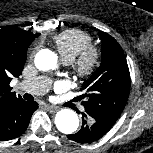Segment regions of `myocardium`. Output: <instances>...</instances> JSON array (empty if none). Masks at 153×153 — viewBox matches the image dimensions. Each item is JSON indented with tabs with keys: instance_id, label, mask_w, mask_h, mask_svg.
Segmentation results:
<instances>
[{
	"instance_id": "obj_1",
	"label": "myocardium",
	"mask_w": 153,
	"mask_h": 153,
	"mask_svg": "<svg viewBox=\"0 0 153 153\" xmlns=\"http://www.w3.org/2000/svg\"><path fill=\"white\" fill-rule=\"evenodd\" d=\"M101 62V51L94 45L86 46L74 59L73 71L80 80L90 79Z\"/></svg>"
}]
</instances>
